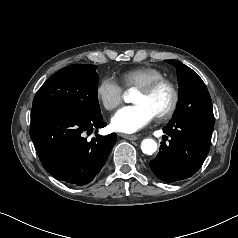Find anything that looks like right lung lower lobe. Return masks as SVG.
Returning a JSON list of instances; mask_svg holds the SVG:
<instances>
[{
	"mask_svg": "<svg viewBox=\"0 0 238 238\" xmlns=\"http://www.w3.org/2000/svg\"><path fill=\"white\" fill-rule=\"evenodd\" d=\"M102 115L88 116L69 110L32 109L30 136L43 167L56 179L85 185L104 165L116 133L85 138L105 127Z\"/></svg>",
	"mask_w": 238,
	"mask_h": 238,
	"instance_id": "1",
	"label": "right lung lower lobe"
}]
</instances>
